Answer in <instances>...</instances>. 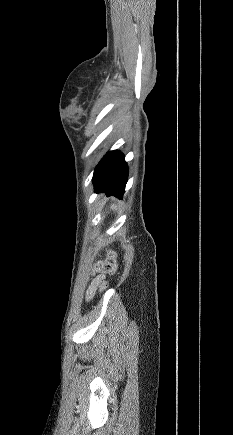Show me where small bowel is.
I'll use <instances>...</instances> for the list:
<instances>
[{"mask_svg": "<svg viewBox=\"0 0 233 435\" xmlns=\"http://www.w3.org/2000/svg\"><path fill=\"white\" fill-rule=\"evenodd\" d=\"M96 289V285L91 286L90 291H89V297H91L93 295L94 290Z\"/></svg>", "mask_w": 233, "mask_h": 435, "instance_id": "1", "label": "small bowel"}]
</instances>
